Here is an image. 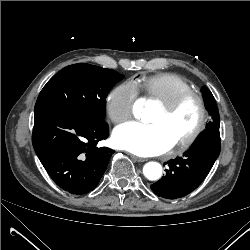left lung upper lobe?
<instances>
[{"instance_id":"left-lung-upper-lobe-1","label":"left lung upper lobe","mask_w":250,"mask_h":250,"mask_svg":"<svg viewBox=\"0 0 250 250\" xmlns=\"http://www.w3.org/2000/svg\"><path fill=\"white\" fill-rule=\"evenodd\" d=\"M202 94H203L205 107L213 119L211 122H209L206 125V127H207V129H218L220 126V124H219V112H218V109L216 106L215 99H214L212 93L210 92V90L207 88L202 89Z\"/></svg>"}]
</instances>
